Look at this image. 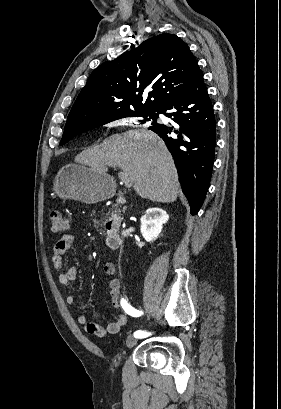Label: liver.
I'll use <instances>...</instances> for the list:
<instances>
[{
  "instance_id": "1",
  "label": "liver",
  "mask_w": 281,
  "mask_h": 409,
  "mask_svg": "<svg viewBox=\"0 0 281 409\" xmlns=\"http://www.w3.org/2000/svg\"><path fill=\"white\" fill-rule=\"evenodd\" d=\"M75 160L104 174L108 170L105 162L119 166L134 178L133 188L141 198H150L153 202H174L178 198L177 170L164 140L148 128L112 134L98 146L77 154Z\"/></svg>"
}]
</instances>
